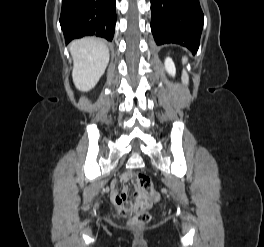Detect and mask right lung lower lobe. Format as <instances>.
<instances>
[{
    "mask_svg": "<svg viewBox=\"0 0 264 247\" xmlns=\"http://www.w3.org/2000/svg\"><path fill=\"white\" fill-rule=\"evenodd\" d=\"M116 0H63L60 24L68 44L83 36L113 39Z\"/></svg>",
    "mask_w": 264,
    "mask_h": 247,
    "instance_id": "obj_1",
    "label": "right lung lower lobe"
}]
</instances>
